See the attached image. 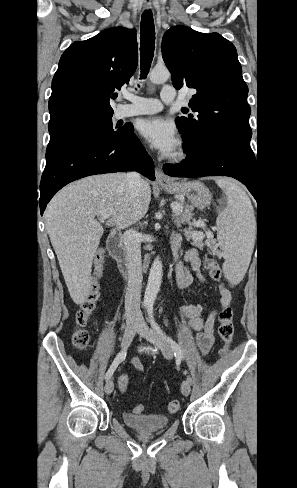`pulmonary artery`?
I'll return each mask as SVG.
<instances>
[{"mask_svg": "<svg viewBox=\"0 0 297 488\" xmlns=\"http://www.w3.org/2000/svg\"><path fill=\"white\" fill-rule=\"evenodd\" d=\"M175 97L176 91L171 86H164L162 88L160 100L127 94L126 98L131 101V104L121 106L118 110V116L123 118L136 115L154 114L162 110L163 103H171L174 101Z\"/></svg>", "mask_w": 297, "mask_h": 488, "instance_id": "e3ab8cb5", "label": "pulmonary artery"}]
</instances>
